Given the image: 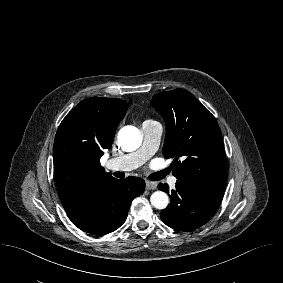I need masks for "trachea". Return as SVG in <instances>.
Listing matches in <instances>:
<instances>
[{
    "label": "trachea",
    "mask_w": 283,
    "mask_h": 283,
    "mask_svg": "<svg viewBox=\"0 0 283 283\" xmlns=\"http://www.w3.org/2000/svg\"><path fill=\"white\" fill-rule=\"evenodd\" d=\"M164 178V176L163 175H160L159 173H153V174H151L150 176H149V179L151 180V181H157V180H161V179H163Z\"/></svg>",
    "instance_id": "1"
}]
</instances>
